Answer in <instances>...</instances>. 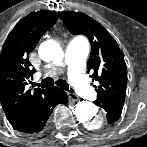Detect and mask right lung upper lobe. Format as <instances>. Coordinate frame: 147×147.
Returning <instances> with one entry per match:
<instances>
[{
    "instance_id": "cb5924a9",
    "label": "right lung upper lobe",
    "mask_w": 147,
    "mask_h": 147,
    "mask_svg": "<svg viewBox=\"0 0 147 147\" xmlns=\"http://www.w3.org/2000/svg\"><path fill=\"white\" fill-rule=\"evenodd\" d=\"M59 13L33 12L21 19L8 35L0 54V101L8 120L18 117L46 91L27 90L26 80L36 71L28 55L42 35L52 27Z\"/></svg>"
}]
</instances>
